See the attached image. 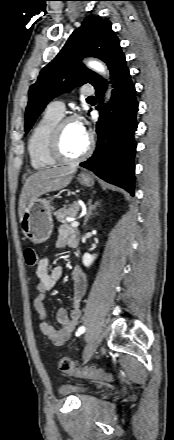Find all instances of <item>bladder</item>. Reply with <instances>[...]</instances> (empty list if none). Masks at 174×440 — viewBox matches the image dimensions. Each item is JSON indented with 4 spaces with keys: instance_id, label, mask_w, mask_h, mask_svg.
<instances>
[{
    "instance_id": "bladder-1",
    "label": "bladder",
    "mask_w": 174,
    "mask_h": 440,
    "mask_svg": "<svg viewBox=\"0 0 174 440\" xmlns=\"http://www.w3.org/2000/svg\"><path fill=\"white\" fill-rule=\"evenodd\" d=\"M91 390L92 388L88 385L63 384L59 387V391L62 394L76 393L78 395H84Z\"/></svg>"
}]
</instances>
